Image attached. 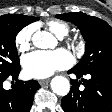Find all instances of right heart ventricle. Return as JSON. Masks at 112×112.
Instances as JSON below:
<instances>
[{"label": "right heart ventricle", "mask_w": 112, "mask_h": 112, "mask_svg": "<svg viewBox=\"0 0 112 112\" xmlns=\"http://www.w3.org/2000/svg\"><path fill=\"white\" fill-rule=\"evenodd\" d=\"M47 28L59 38H63L69 32V25L63 21L50 20L46 23Z\"/></svg>", "instance_id": "right-heart-ventricle-1"}]
</instances>
